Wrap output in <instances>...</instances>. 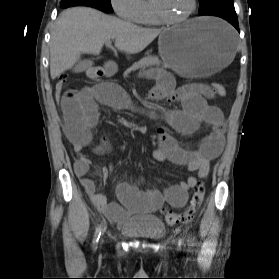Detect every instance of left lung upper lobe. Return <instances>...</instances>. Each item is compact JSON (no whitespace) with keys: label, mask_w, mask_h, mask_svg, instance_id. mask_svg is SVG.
Returning a JSON list of instances; mask_svg holds the SVG:
<instances>
[{"label":"left lung upper lobe","mask_w":279,"mask_h":279,"mask_svg":"<svg viewBox=\"0 0 279 279\" xmlns=\"http://www.w3.org/2000/svg\"><path fill=\"white\" fill-rule=\"evenodd\" d=\"M199 14L206 13L214 8L222 6H234L233 0H199Z\"/></svg>","instance_id":"1"}]
</instances>
